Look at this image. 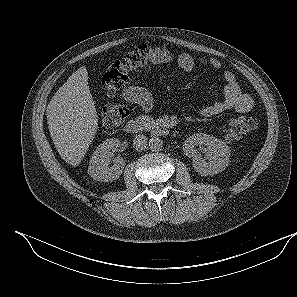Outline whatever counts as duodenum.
<instances>
[{
	"instance_id": "1",
	"label": "duodenum",
	"mask_w": 297,
	"mask_h": 297,
	"mask_svg": "<svg viewBox=\"0 0 297 297\" xmlns=\"http://www.w3.org/2000/svg\"><path fill=\"white\" fill-rule=\"evenodd\" d=\"M143 129V123L138 119H130L128 120L124 126L123 131L127 134H136ZM151 132L157 136H165L168 134V130L166 128L154 125L151 128Z\"/></svg>"
}]
</instances>
